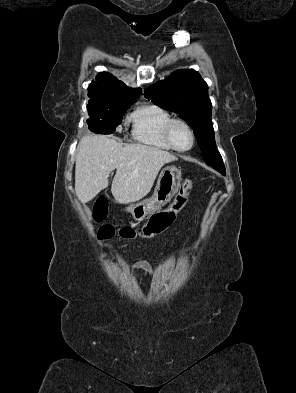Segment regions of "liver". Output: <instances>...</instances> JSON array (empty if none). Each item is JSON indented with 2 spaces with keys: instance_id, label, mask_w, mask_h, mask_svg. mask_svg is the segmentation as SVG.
Segmentation results:
<instances>
[{
  "instance_id": "1",
  "label": "liver",
  "mask_w": 296,
  "mask_h": 393,
  "mask_svg": "<svg viewBox=\"0 0 296 393\" xmlns=\"http://www.w3.org/2000/svg\"><path fill=\"white\" fill-rule=\"evenodd\" d=\"M75 192L82 202L92 200L108 186L116 169L111 192L121 204L136 202L151 190L158 172L177 157L156 147L123 144L106 135H86L78 145Z\"/></svg>"
}]
</instances>
